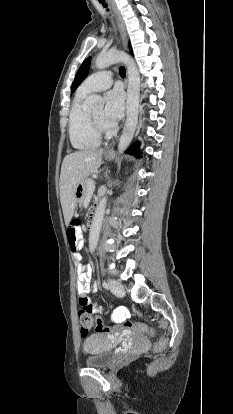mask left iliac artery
Masks as SVG:
<instances>
[{
  "label": "left iliac artery",
  "instance_id": "1",
  "mask_svg": "<svg viewBox=\"0 0 233 414\" xmlns=\"http://www.w3.org/2000/svg\"><path fill=\"white\" fill-rule=\"evenodd\" d=\"M102 285H103V287H104V288H106V289H108V288H109V284H108L107 282H105V281L102 283Z\"/></svg>",
  "mask_w": 233,
  "mask_h": 414
}]
</instances>
